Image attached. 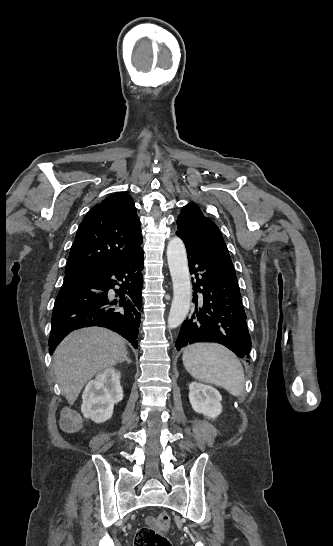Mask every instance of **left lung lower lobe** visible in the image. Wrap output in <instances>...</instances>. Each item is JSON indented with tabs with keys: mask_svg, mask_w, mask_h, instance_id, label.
Instances as JSON below:
<instances>
[{
	"mask_svg": "<svg viewBox=\"0 0 333 546\" xmlns=\"http://www.w3.org/2000/svg\"><path fill=\"white\" fill-rule=\"evenodd\" d=\"M176 235L185 244L190 273L195 275L194 307L181 326L177 350L194 342L211 341L248 358L251 338L232 261L202 250L178 230Z\"/></svg>",
	"mask_w": 333,
	"mask_h": 546,
	"instance_id": "left-lung-lower-lobe-1",
	"label": "left lung lower lobe"
}]
</instances>
